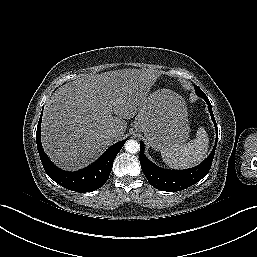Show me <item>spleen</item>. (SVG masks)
Masks as SVG:
<instances>
[{
  "mask_svg": "<svg viewBox=\"0 0 257 257\" xmlns=\"http://www.w3.org/2000/svg\"><path fill=\"white\" fill-rule=\"evenodd\" d=\"M208 147V134L203 127H200L194 140L164 149L161 151V156L169 167L185 169L202 162L207 155Z\"/></svg>",
  "mask_w": 257,
  "mask_h": 257,
  "instance_id": "spleen-1",
  "label": "spleen"
}]
</instances>
